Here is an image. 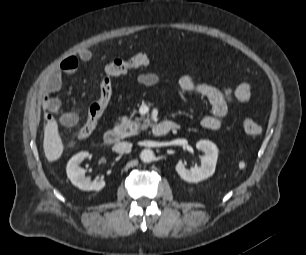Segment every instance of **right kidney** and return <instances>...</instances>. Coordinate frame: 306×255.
Returning a JSON list of instances; mask_svg holds the SVG:
<instances>
[{"label":"right kidney","mask_w":306,"mask_h":255,"mask_svg":"<svg viewBox=\"0 0 306 255\" xmlns=\"http://www.w3.org/2000/svg\"><path fill=\"white\" fill-rule=\"evenodd\" d=\"M89 155L88 152H79L74 155L67 163L66 173L72 184L81 190L100 191L105 186V181H91L85 177V170L80 168L79 164Z\"/></svg>","instance_id":"obj_1"}]
</instances>
